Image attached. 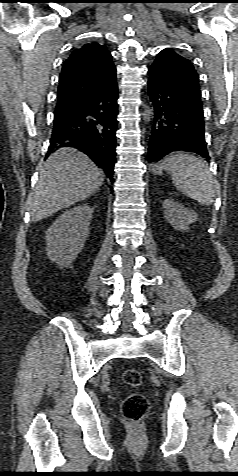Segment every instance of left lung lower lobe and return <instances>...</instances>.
Instances as JSON below:
<instances>
[{"instance_id":"1","label":"left lung lower lobe","mask_w":238,"mask_h":476,"mask_svg":"<svg viewBox=\"0 0 238 476\" xmlns=\"http://www.w3.org/2000/svg\"><path fill=\"white\" fill-rule=\"evenodd\" d=\"M148 73L154 120L147 161L157 162L175 151H190L210 159L201 99L179 90L157 71L149 68Z\"/></svg>"}]
</instances>
